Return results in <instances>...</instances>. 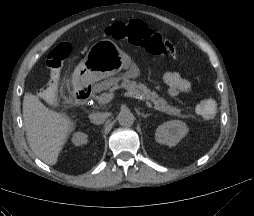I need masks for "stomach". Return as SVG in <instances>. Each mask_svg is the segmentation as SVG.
<instances>
[{
    "mask_svg": "<svg viewBox=\"0 0 254 216\" xmlns=\"http://www.w3.org/2000/svg\"><path fill=\"white\" fill-rule=\"evenodd\" d=\"M123 69H127V78L140 75L138 66L128 53L112 40L102 39L90 47L85 58L76 67L73 78L77 82L98 81L119 74Z\"/></svg>",
    "mask_w": 254,
    "mask_h": 216,
    "instance_id": "1",
    "label": "stomach"
}]
</instances>
